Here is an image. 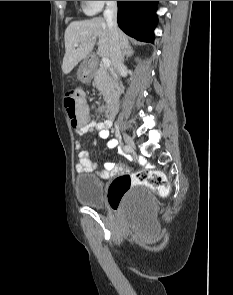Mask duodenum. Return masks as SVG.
<instances>
[{
	"mask_svg": "<svg viewBox=\"0 0 233 295\" xmlns=\"http://www.w3.org/2000/svg\"><path fill=\"white\" fill-rule=\"evenodd\" d=\"M118 105V94H113L107 103V109H106V113L109 117H112L115 112H116V108Z\"/></svg>",
	"mask_w": 233,
	"mask_h": 295,
	"instance_id": "410a0bca",
	"label": "duodenum"
}]
</instances>
